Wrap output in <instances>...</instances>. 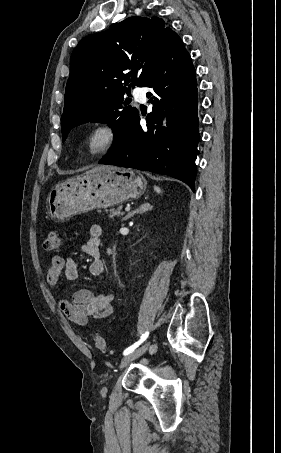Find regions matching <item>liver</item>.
Returning a JSON list of instances; mask_svg holds the SVG:
<instances>
[{
	"label": "liver",
	"instance_id": "obj_1",
	"mask_svg": "<svg viewBox=\"0 0 281 453\" xmlns=\"http://www.w3.org/2000/svg\"><path fill=\"white\" fill-rule=\"evenodd\" d=\"M106 168H111L110 164H102V166H95L91 170H86L84 174H79V176H86V174H91V172H100V170H106Z\"/></svg>",
	"mask_w": 281,
	"mask_h": 453
}]
</instances>
